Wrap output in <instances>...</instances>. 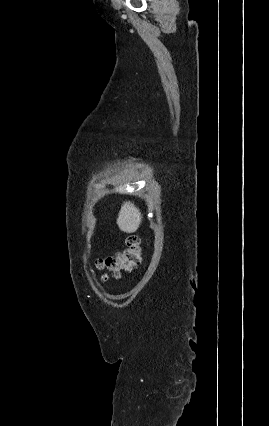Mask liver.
<instances>
[{"mask_svg": "<svg viewBox=\"0 0 269 426\" xmlns=\"http://www.w3.org/2000/svg\"><path fill=\"white\" fill-rule=\"evenodd\" d=\"M142 221V214L134 203L127 201L121 206L117 218L119 229L125 233H134Z\"/></svg>", "mask_w": 269, "mask_h": 426, "instance_id": "6515ba94", "label": "liver"}]
</instances>
